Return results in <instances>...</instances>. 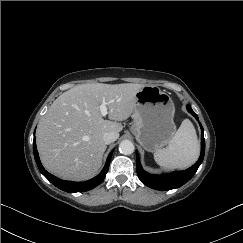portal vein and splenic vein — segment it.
I'll return each mask as SVG.
<instances>
[{
    "label": "portal vein and splenic vein",
    "instance_id": "18ae733b",
    "mask_svg": "<svg viewBox=\"0 0 243 243\" xmlns=\"http://www.w3.org/2000/svg\"><path fill=\"white\" fill-rule=\"evenodd\" d=\"M100 112L102 116H106L108 114L107 103L103 102L100 106Z\"/></svg>",
    "mask_w": 243,
    "mask_h": 243
}]
</instances>
